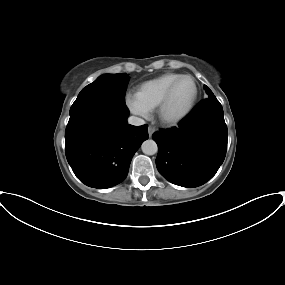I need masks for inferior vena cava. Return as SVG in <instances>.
Wrapping results in <instances>:
<instances>
[{"label": "inferior vena cava", "mask_w": 285, "mask_h": 285, "mask_svg": "<svg viewBox=\"0 0 285 285\" xmlns=\"http://www.w3.org/2000/svg\"><path fill=\"white\" fill-rule=\"evenodd\" d=\"M128 123L134 126L144 125L145 121L139 117L131 116L128 118Z\"/></svg>", "instance_id": "602c4592"}]
</instances>
